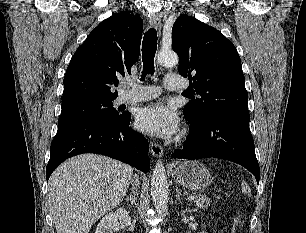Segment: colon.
<instances>
[{"label": "colon", "instance_id": "colon-1", "mask_svg": "<svg viewBox=\"0 0 306 233\" xmlns=\"http://www.w3.org/2000/svg\"><path fill=\"white\" fill-rule=\"evenodd\" d=\"M241 226H242V220H241V218H237L236 222H235L234 233H238Z\"/></svg>", "mask_w": 306, "mask_h": 233}]
</instances>
